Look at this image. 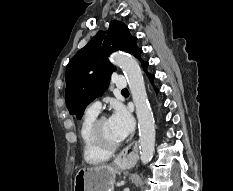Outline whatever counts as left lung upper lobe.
Listing matches in <instances>:
<instances>
[{
	"mask_svg": "<svg viewBox=\"0 0 233 191\" xmlns=\"http://www.w3.org/2000/svg\"><path fill=\"white\" fill-rule=\"evenodd\" d=\"M136 37L119 21H112L109 29L96 36L69 62L66 69L65 102L72 115L80 119L85 107L104 92L115 67L108 56L117 50L128 52L140 61L142 50Z\"/></svg>",
	"mask_w": 233,
	"mask_h": 191,
	"instance_id": "obj_1",
	"label": "left lung upper lobe"
}]
</instances>
